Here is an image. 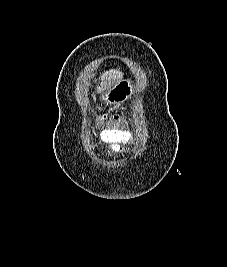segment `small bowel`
<instances>
[{
	"instance_id": "small-bowel-1",
	"label": "small bowel",
	"mask_w": 227,
	"mask_h": 267,
	"mask_svg": "<svg viewBox=\"0 0 227 267\" xmlns=\"http://www.w3.org/2000/svg\"><path fill=\"white\" fill-rule=\"evenodd\" d=\"M100 139L109 149L115 152H123L126 150L124 146L132 143L134 136L126 130H110V128H105L100 132Z\"/></svg>"
}]
</instances>
